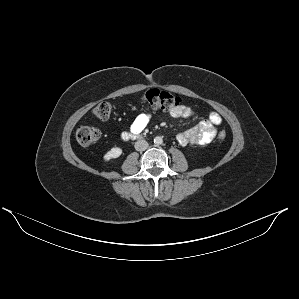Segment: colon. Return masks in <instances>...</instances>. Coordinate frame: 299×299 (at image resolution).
<instances>
[{"instance_id": "colon-1", "label": "colon", "mask_w": 299, "mask_h": 299, "mask_svg": "<svg viewBox=\"0 0 299 299\" xmlns=\"http://www.w3.org/2000/svg\"><path fill=\"white\" fill-rule=\"evenodd\" d=\"M138 103L144 107L151 108L155 111H168L179 106L180 98L173 93L159 89H150L142 93ZM112 104L109 101H101L93 108V115L98 120H108L112 113ZM99 138V130L93 126H80L76 131V139L80 145L89 146L95 143ZM219 140L226 138L224 131L219 132Z\"/></svg>"}]
</instances>
